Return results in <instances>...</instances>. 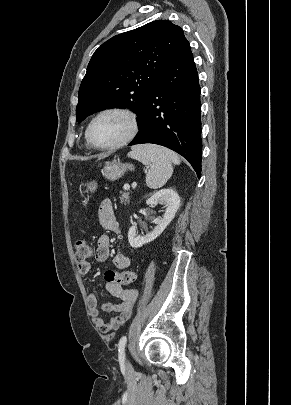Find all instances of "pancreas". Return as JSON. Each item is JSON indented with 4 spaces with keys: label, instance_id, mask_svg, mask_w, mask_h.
<instances>
[{
    "label": "pancreas",
    "instance_id": "1",
    "mask_svg": "<svg viewBox=\"0 0 291 405\" xmlns=\"http://www.w3.org/2000/svg\"><path fill=\"white\" fill-rule=\"evenodd\" d=\"M120 200H121V203H123L124 205L129 204L130 194L128 192H122Z\"/></svg>",
    "mask_w": 291,
    "mask_h": 405
}]
</instances>
